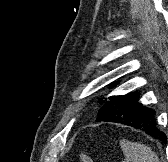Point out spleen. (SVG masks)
Listing matches in <instances>:
<instances>
[{
	"mask_svg": "<svg viewBox=\"0 0 168 162\" xmlns=\"http://www.w3.org/2000/svg\"><path fill=\"white\" fill-rule=\"evenodd\" d=\"M120 146L125 155L123 162H160L157 154L149 146L125 139L120 141Z\"/></svg>",
	"mask_w": 168,
	"mask_h": 162,
	"instance_id": "1",
	"label": "spleen"
}]
</instances>
